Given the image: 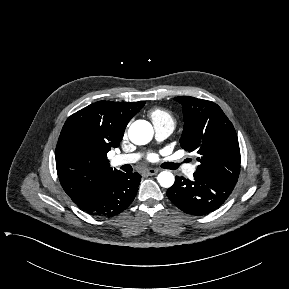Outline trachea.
Wrapping results in <instances>:
<instances>
[{"label": "trachea", "mask_w": 289, "mask_h": 289, "mask_svg": "<svg viewBox=\"0 0 289 289\" xmlns=\"http://www.w3.org/2000/svg\"><path fill=\"white\" fill-rule=\"evenodd\" d=\"M179 165L180 164H178V163H171L170 168L174 170V169H177L179 167Z\"/></svg>", "instance_id": "1"}]
</instances>
